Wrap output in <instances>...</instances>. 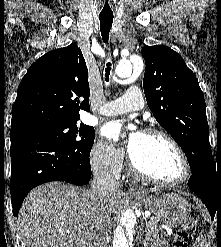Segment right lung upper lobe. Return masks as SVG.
<instances>
[{
    "mask_svg": "<svg viewBox=\"0 0 221 247\" xmlns=\"http://www.w3.org/2000/svg\"><path fill=\"white\" fill-rule=\"evenodd\" d=\"M89 95L88 70L80 48L71 44L52 50L36 60L21 80L12 108L11 131L78 121L80 109L89 111Z\"/></svg>",
    "mask_w": 221,
    "mask_h": 247,
    "instance_id": "obj_1",
    "label": "right lung upper lobe"
}]
</instances>
